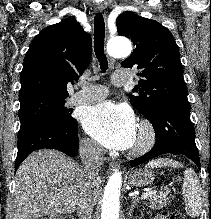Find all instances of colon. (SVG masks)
Returning a JSON list of instances; mask_svg holds the SVG:
<instances>
[{
  "label": "colon",
  "instance_id": "colon-1",
  "mask_svg": "<svg viewBox=\"0 0 211 219\" xmlns=\"http://www.w3.org/2000/svg\"><path fill=\"white\" fill-rule=\"evenodd\" d=\"M42 219H67V218L64 216L57 215V216L45 217ZM171 219H187V217L181 212H176L172 215Z\"/></svg>",
  "mask_w": 211,
  "mask_h": 219
}]
</instances>
